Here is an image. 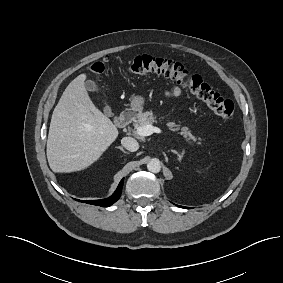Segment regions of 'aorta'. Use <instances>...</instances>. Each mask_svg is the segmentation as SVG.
Wrapping results in <instances>:
<instances>
[{"mask_svg":"<svg viewBox=\"0 0 283 283\" xmlns=\"http://www.w3.org/2000/svg\"><path fill=\"white\" fill-rule=\"evenodd\" d=\"M147 169L152 173H158L161 170L160 161L157 158L151 159V161L147 164Z\"/></svg>","mask_w":283,"mask_h":283,"instance_id":"obj_1","label":"aorta"}]
</instances>
